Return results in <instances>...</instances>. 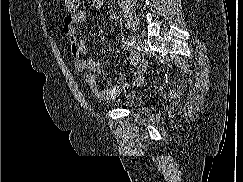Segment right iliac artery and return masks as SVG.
Instances as JSON below:
<instances>
[{
	"instance_id": "right-iliac-artery-1",
	"label": "right iliac artery",
	"mask_w": 243,
	"mask_h": 182,
	"mask_svg": "<svg viewBox=\"0 0 243 182\" xmlns=\"http://www.w3.org/2000/svg\"><path fill=\"white\" fill-rule=\"evenodd\" d=\"M130 42L129 41H125L123 44L124 49L128 50L130 48Z\"/></svg>"
}]
</instances>
